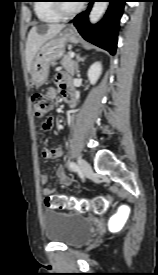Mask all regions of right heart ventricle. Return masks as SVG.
Masks as SVG:
<instances>
[{
  "mask_svg": "<svg viewBox=\"0 0 158 275\" xmlns=\"http://www.w3.org/2000/svg\"><path fill=\"white\" fill-rule=\"evenodd\" d=\"M53 0H39L35 5V11L37 17L43 22H59L61 16H59L53 8Z\"/></svg>",
  "mask_w": 158,
  "mask_h": 275,
  "instance_id": "right-heart-ventricle-1",
  "label": "right heart ventricle"
}]
</instances>
